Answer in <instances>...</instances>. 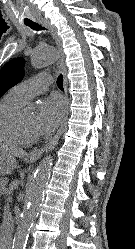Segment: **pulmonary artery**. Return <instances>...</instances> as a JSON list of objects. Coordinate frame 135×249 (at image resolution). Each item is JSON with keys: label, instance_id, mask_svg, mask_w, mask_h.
Returning a JSON list of instances; mask_svg holds the SVG:
<instances>
[{"label": "pulmonary artery", "instance_id": "1", "mask_svg": "<svg viewBox=\"0 0 135 249\" xmlns=\"http://www.w3.org/2000/svg\"><path fill=\"white\" fill-rule=\"evenodd\" d=\"M51 84L52 77L49 74H37L15 86L12 93L25 102L47 91Z\"/></svg>", "mask_w": 135, "mask_h": 249}]
</instances>
